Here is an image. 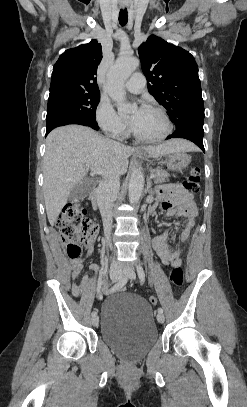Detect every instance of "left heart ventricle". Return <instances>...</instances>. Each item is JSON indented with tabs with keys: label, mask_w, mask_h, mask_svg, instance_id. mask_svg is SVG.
Returning a JSON list of instances; mask_svg holds the SVG:
<instances>
[{
	"label": "left heart ventricle",
	"mask_w": 247,
	"mask_h": 407,
	"mask_svg": "<svg viewBox=\"0 0 247 407\" xmlns=\"http://www.w3.org/2000/svg\"><path fill=\"white\" fill-rule=\"evenodd\" d=\"M130 118L133 128L143 138H157L166 130L164 119L156 111L145 108L134 110Z\"/></svg>",
	"instance_id": "obj_1"
}]
</instances>
